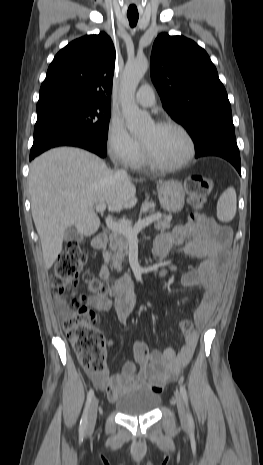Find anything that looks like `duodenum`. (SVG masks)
<instances>
[{
    "instance_id": "duodenum-1",
    "label": "duodenum",
    "mask_w": 263,
    "mask_h": 465,
    "mask_svg": "<svg viewBox=\"0 0 263 465\" xmlns=\"http://www.w3.org/2000/svg\"><path fill=\"white\" fill-rule=\"evenodd\" d=\"M108 237L106 234H98L91 242V247L95 251L103 250L107 245ZM102 275H105V270H102Z\"/></svg>"
}]
</instances>
